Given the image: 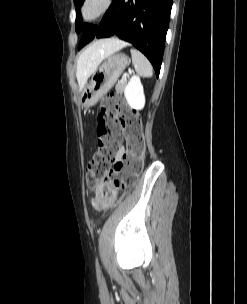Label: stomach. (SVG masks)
I'll return each instance as SVG.
<instances>
[{"instance_id":"0dacf381","label":"stomach","mask_w":247,"mask_h":304,"mask_svg":"<svg viewBox=\"0 0 247 304\" xmlns=\"http://www.w3.org/2000/svg\"><path fill=\"white\" fill-rule=\"evenodd\" d=\"M129 64L124 53L112 54L93 73L80 95V105L88 108L95 105L116 83Z\"/></svg>"}]
</instances>
